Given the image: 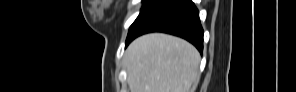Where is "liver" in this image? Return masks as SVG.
<instances>
[{"instance_id": "6515ba94", "label": "liver", "mask_w": 296, "mask_h": 92, "mask_svg": "<svg viewBox=\"0 0 296 92\" xmlns=\"http://www.w3.org/2000/svg\"><path fill=\"white\" fill-rule=\"evenodd\" d=\"M200 54L187 41L163 33L135 39L125 52L130 92H190L199 80Z\"/></svg>"}]
</instances>
